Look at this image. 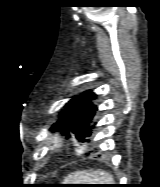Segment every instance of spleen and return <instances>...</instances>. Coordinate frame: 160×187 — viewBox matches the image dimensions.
Returning <instances> with one entry per match:
<instances>
[{
	"label": "spleen",
	"mask_w": 160,
	"mask_h": 187,
	"mask_svg": "<svg viewBox=\"0 0 160 187\" xmlns=\"http://www.w3.org/2000/svg\"><path fill=\"white\" fill-rule=\"evenodd\" d=\"M113 182L110 174L100 170L76 171L67 178V184H112Z\"/></svg>",
	"instance_id": "spleen-1"
}]
</instances>
